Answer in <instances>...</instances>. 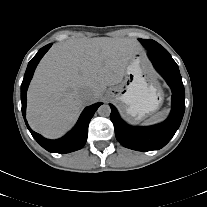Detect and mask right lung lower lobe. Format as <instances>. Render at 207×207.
I'll return each mask as SVG.
<instances>
[{
	"label": "right lung lower lobe",
	"mask_w": 207,
	"mask_h": 207,
	"mask_svg": "<svg viewBox=\"0 0 207 207\" xmlns=\"http://www.w3.org/2000/svg\"><path fill=\"white\" fill-rule=\"evenodd\" d=\"M52 44H48L42 47L37 54L31 59L28 63L23 82L21 84V102H22V114L25 120V123L32 134L33 138L47 151L54 153H69L81 149L86 141L88 136V125L93 117L95 111L102 103H96L91 106H88L82 112L78 122L75 127L67 133L64 137L57 140H48L43 138L38 133L34 132L26 121V93L30 83V80L33 76L34 70L38 65L40 59L48 51Z\"/></svg>",
	"instance_id": "1"
}]
</instances>
